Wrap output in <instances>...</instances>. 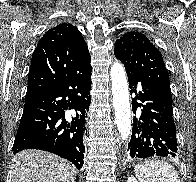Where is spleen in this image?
<instances>
[{
  "instance_id": "obj_1",
  "label": "spleen",
  "mask_w": 196,
  "mask_h": 182,
  "mask_svg": "<svg viewBox=\"0 0 196 182\" xmlns=\"http://www.w3.org/2000/svg\"><path fill=\"white\" fill-rule=\"evenodd\" d=\"M139 182H180L174 167L161 161H148L134 169Z\"/></svg>"
}]
</instances>
